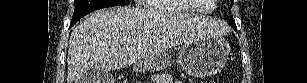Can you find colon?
<instances>
[{
	"instance_id": "colon-1",
	"label": "colon",
	"mask_w": 307,
	"mask_h": 83,
	"mask_svg": "<svg viewBox=\"0 0 307 83\" xmlns=\"http://www.w3.org/2000/svg\"><path fill=\"white\" fill-rule=\"evenodd\" d=\"M206 82H207V83H213V81H212V80H207Z\"/></svg>"
}]
</instances>
